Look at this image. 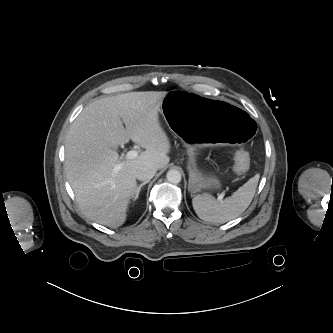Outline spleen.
I'll return each mask as SVG.
<instances>
[{
  "label": "spleen",
  "mask_w": 333,
  "mask_h": 333,
  "mask_svg": "<svg viewBox=\"0 0 333 333\" xmlns=\"http://www.w3.org/2000/svg\"><path fill=\"white\" fill-rule=\"evenodd\" d=\"M259 175L249 179L243 186L223 201H216L211 195H197L192 199L193 208L198 217L215 224L228 222L242 214L250 205Z\"/></svg>",
  "instance_id": "obj_1"
}]
</instances>
